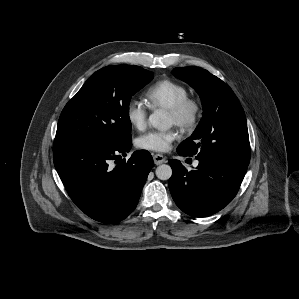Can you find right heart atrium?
Instances as JSON below:
<instances>
[{
	"label": "right heart atrium",
	"mask_w": 299,
	"mask_h": 299,
	"mask_svg": "<svg viewBox=\"0 0 299 299\" xmlns=\"http://www.w3.org/2000/svg\"><path fill=\"white\" fill-rule=\"evenodd\" d=\"M125 115L127 121L134 129H145L148 121V111L140 101L130 99L126 104Z\"/></svg>",
	"instance_id": "1"
}]
</instances>
